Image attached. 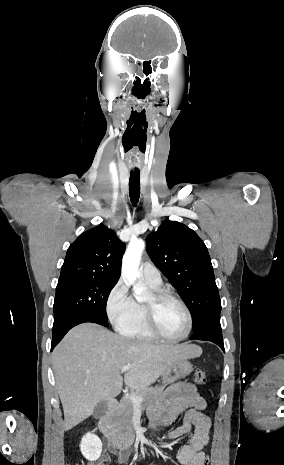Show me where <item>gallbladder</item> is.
<instances>
[{
    "instance_id": "1",
    "label": "gallbladder",
    "mask_w": 284,
    "mask_h": 465,
    "mask_svg": "<svg viewBox=\"0 0 284 465\" xmlns=\"http://www.w3.org/2000/svg\"><path fill=\"white\" fill-rule=\"evenodd\" d=\"M107 401H100V403H97L94 411H93V417L94 419H99V417H103L105 415L108 407Z\"/></svg>"
}]
</instances>
